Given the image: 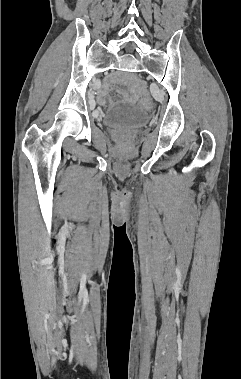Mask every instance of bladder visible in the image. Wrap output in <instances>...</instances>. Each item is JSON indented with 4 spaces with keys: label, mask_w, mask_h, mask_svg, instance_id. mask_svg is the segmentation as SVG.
Returning <instances> with one entry per match:
<instances>
[{
    "label": "bladder",
    "mask_w": 241,
    "mask_h": 379,
    "mask_svg": "<svg viewBox=\"0 0 241 379\" xmlns=\"http://www.w3.org/2000/svg\"><path fill=\"white\" fill-rule=\"evenodd\" d=\"M149 113L137 106L116 104L110 107L102 116V122L111 128L132 130L148 123Z\"/></svg>",
    "instance_id": "bladder-1"
}]
</instances>
